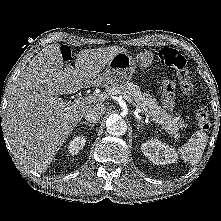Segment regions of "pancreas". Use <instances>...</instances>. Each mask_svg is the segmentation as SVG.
Listing matches in <instances>:
<instances>
[{
  "mask_svg": "<svg viewBox=\"0 0 221 221\" xmlns=\"http://www.w3.org/2000/svg\"><path fill=\"white\" fill-rule=\"evenodd\" d=\"M106 94L110 95H128L134 101V106L147 113L151 120L161 125L162 128L171 135H175L179 129L186 127L180 114L172 115L161 108L156 99L147 93H143L138 85L132 82H125L120 85L106 87Z\"/></svg>",
  "mask_w": 221,
  "mask_h": 221,
  "instance_id": "pancreas-1",
  "label": "pancreas"
}]
</instances>
